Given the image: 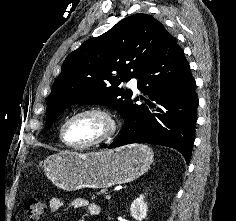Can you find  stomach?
Masks as SVG:
<instances>
[{"instance_id": "obj_1", "label": "stomach", "mask_w": 236, "mask_h": 221, "mask_svg": "<svg viewBox=\"0 0 236 221\" xmlns=\"http://www.w3.org/2000/svg\"><path fill=\"white\" fill-rule=\"evenodd\" d=\"M153 156L148 146L131 144L98 152L63 151L49 156L43 166L48 179L62 190L101 189L137 179Z\"/></svg>"}]
</instances>
